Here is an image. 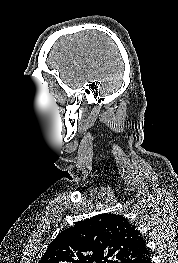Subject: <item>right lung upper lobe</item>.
<instances>
[{
    "label": "right lung upper lobe",
    "mask_w": 178,
    "mask_h": 263,
    "mask_svg": "<svg viewBox=\"0 0 178 263\" xmlns=\"http://www.w3.org/2000/svg\"><path fill=\"white\" fill-rule=\"evenodd\" d=\"M149 255L135 225L106 213L59 233L39 263H142Z\"/></svg>",
    "instance_id": "1"
}]
</instances>
